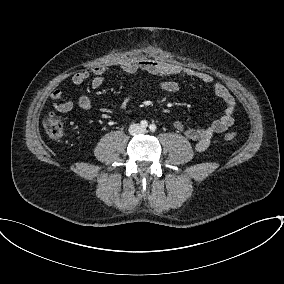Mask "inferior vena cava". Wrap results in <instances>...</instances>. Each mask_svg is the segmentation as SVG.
Masks as SVG:
<instances>
[{
  "mask_svg": "<svg viewBox=\"0 0 284 284\" xmlns=\"http://www.w3.org/2000/svg\"><path fill=\"white\" fill-rule=\"evenodd\" d=\"M144 132V128L139 124H132L129 127V133L131 135H137Z\"/></svg>",
  "mask_w": 284,
  "mask_h": 284,
  "instance_id": "inferior-vena-cava-1",
  "label": "inferior vena cava"
}]
</instances>
